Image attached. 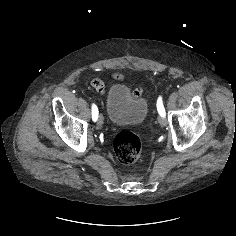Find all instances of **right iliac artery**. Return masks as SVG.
<instances>
[{
  "label": "right iliac artery",
  "instance_id": "82829eb1",
  "mask_svg": "<svg viewBox=\"0 0 236 236\" xmlns=\"http://www.w3.org/2000/svg\"><path fill=\"white\" fill-rule=\"evenodd\" d=\"M98 118V108L96 105H92V119L93 121H96Z\"/></svg>",
  "mask_w": 236,
  "mask_h": 236
}]
</instances>
